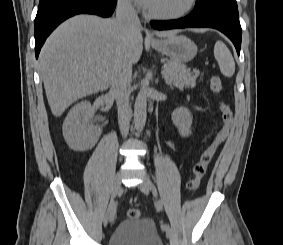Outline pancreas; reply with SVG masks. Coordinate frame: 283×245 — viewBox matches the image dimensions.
<instances>
[{
    "label": "pancreas",
    "mask_w": 283,
    "mask_h": 245,
    "mask_svg": "<svg viewBox=\"0 0 283 245\" xmlns=\"http://www.w3.org/2000/svg\"><path fill=\"white\" fill-rule=\"evenodd\" d=\"M163 77L166 83L183 90L184 87L194 88L199 72H190L185 65L167 60L163 66Z\"/></svg>",
    "instance_id": "cf45deb5"
}]
</instances>
